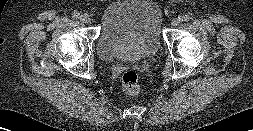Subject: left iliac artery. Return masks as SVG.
Wrapping results in <instances>:
<instances>
[{"label": "left iliac artery", "instance_id": "left-iliac-artery-1", "mask_svg": "<svg viewBox=\"0 0 253 131\" xmlns=\"http://www.w3.org/2000/svg\"><path fill=\"white\" fill-rule=\"evenodd\" d=\"M190 19H191V17H190V15H188V14H185V15H183V16L180 18V20L183 21V22H188V21H190Z\"/></svg>", "mask_w": 253, "mask_h": 131}]
</instances>
